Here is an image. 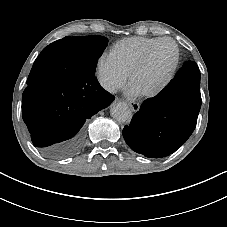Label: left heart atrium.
Instances as JSON below:
<instances>
[{"label": "left heart atrium", "instance_id": "left-heart-atrium-1", "mask_svg": "<svg viewBox=\"0 0 227 227\" xmlns=\"http://www.w3.org/2000/svg\"><path fill=\"white\" fill-rule=\"evenodd\" d=\"M126 93H127L129 96H138V95L140 94L132 85H130V86L127 88Z\"/></svg>", "mask_w": 227, "mask_h": 227}]
</instances>
